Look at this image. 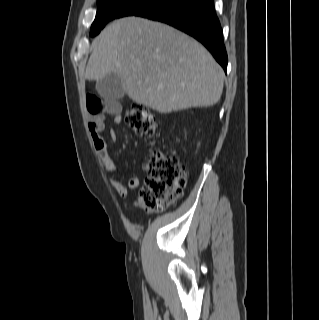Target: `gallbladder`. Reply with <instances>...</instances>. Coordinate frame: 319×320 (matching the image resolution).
<instances>
[{
    "instance_id": "bac80fb5",
    "label": "gallbladder",
    "mask_w": 319,
    "mask_h": 320,
    "mask_svg": "<svg viewBox=\"0 0 319 320\" xmlns=\"http://www.w3.org/2000/svg\"><path fill=\"white\" fill-rule=\"evenodd\" d=\"M96 90L102 98L109 101L118 100L125 95L121 78L113 73L97 81Z\"/></svg>"
}]
</instances>
